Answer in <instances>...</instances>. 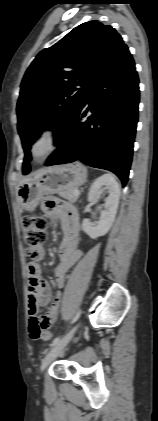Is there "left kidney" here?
Wrapping results in <instances>:
<instances>
[{"label":"left kidney","mask_w":158,"mask_h":421,"mask_svg":"<svg viewBox=\"0 0 158 421\" xmlns=\"http://www.w3.org/2000/svg\"><path fill=\"white\" fill-rule=\"evenodd\" d=\"M103 188L107 189L109 195L105 200L98 224L93 226L89 219H84L82 222L83 231L92 239L104 236L110 230L118 209L120 186L110 174L99 177L93 183L88 194V201L95 202Z\"/></svg>","instance_id":"5707ae66"}]
</instances>
